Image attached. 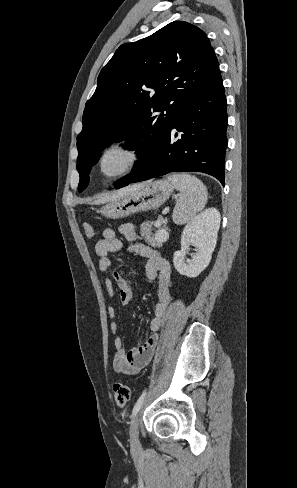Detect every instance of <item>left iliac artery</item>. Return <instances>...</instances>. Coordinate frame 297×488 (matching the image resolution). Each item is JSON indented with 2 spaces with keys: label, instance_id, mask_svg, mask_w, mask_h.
<instances>
[{
  "label": "left iliac artery",
  "instance_id": "obj_1",
  "mask_svg": "<svg viewBox=\"0 0 297 488\" xmlns=\"http://www.w3.org/2000/svg\"><path fill=\"white\" fill-rule=\"evenodd\" d=\"M145 396H146V390L143 391V393L141 394V396L138 398L137 402L135 403V405L133 407V411H132V416H136V414L140 410V408L144 402Z\"/></svg>",
  "mask_w": 297,
  "mask_h": 488
}]
</instances>
